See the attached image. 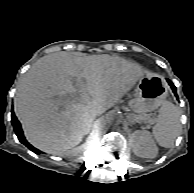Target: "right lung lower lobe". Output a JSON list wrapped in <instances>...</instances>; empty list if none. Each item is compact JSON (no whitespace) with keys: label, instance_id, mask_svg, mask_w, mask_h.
Masks as SVG:
<instances>
[{"label":"right lung lower lobe","instance_id":"1","mask_svg":"<svg viewBox=\"0 0 194 193\" xmlns=\"http://www.w3.org/2000/svg\"><path fill=\"white\" fill-rule=\"evenodd\" d=\"M12 124L15 130L16 135L18 136V139L20 140L21 143H23L26 147H28L31 151H33L36 154H40L41 151H39L38 149L34 148L32 145H30L24 135H23V131L20 125V122L17 120L14 111L12 110Z\"/></svg>","mask_w":194,"mask_h":193}]
</instances>
